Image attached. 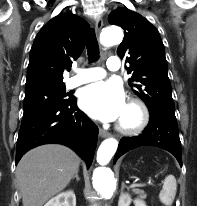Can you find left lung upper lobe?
Wrapping results in <instances>:
<instances>
[{
  "mask_svg": "<svg viewBox=\"0 0 197 206\" xmlns=\"http://www.w3.org/2000/svg\"><path fill=\"white\" fill-rule=\"evenodd\" d=\"M110 24L123 28L124 39L117 49L130 64L128 73L134 92L146 103L149 112L175 114L171 84L167 74L164 45L158 30L140 14L118 8L108 17Z\"/></svg>",
  "mask_w": 197,
  "mask_h": 206,
  "instance_id": "left-lung-upper-lobe-1",
  "label": "left lung upper lobe"
}]
</instances>
